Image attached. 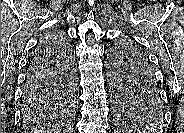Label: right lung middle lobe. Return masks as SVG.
<instances>
[{
    "instance_id": "obj_1",
    "label": "right lung middle lobe",
    "mask_w": 184,
    "mask_h": 133,
    "mask_svg": "<svg viewBox=\"0 0 184 133\" xmlns=\"http://www.w3.org/2000/svg\"><path fill=\"white\" fill-rule=\"evenodd\" d=\"M46 36L53 37L59 41L64 48L61 51L63 62L61 80L56 83V88L51 92L48 100L22 101L23 112L27 117L39 116L40 114L50 110L72 108L75 103L74 93L76 72L71 50L61 34L52 32Z\"/></svg>"
}]
</instances>
